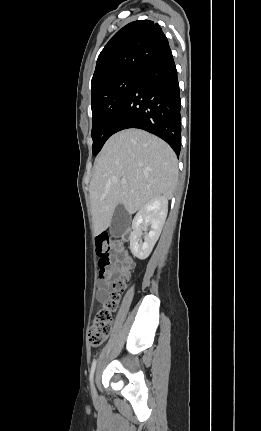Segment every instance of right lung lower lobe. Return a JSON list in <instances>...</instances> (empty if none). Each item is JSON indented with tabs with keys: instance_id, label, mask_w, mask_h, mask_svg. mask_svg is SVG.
<instances>
[{
	"instance_id": "98d812e1",
	"label": "right lung lower lobe",
	"mask_w": 261,
	"mask_h": 431,
	"mask_svg": "<svg viewBox=\"0 0 261 431\" xmlns=\"http://www.w3.org/2000/svg\"><path fill=\"white\" fill-rule=\"evenodd\" d=\"M180 103L177 70L169 48L138 73L112 134L128 128L143 129L165 140L179 156Z\"/></svg>"
}]
</instances>
